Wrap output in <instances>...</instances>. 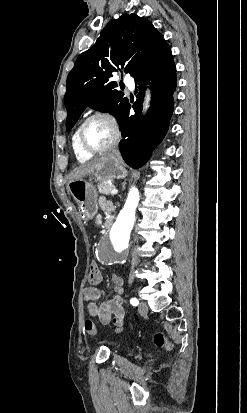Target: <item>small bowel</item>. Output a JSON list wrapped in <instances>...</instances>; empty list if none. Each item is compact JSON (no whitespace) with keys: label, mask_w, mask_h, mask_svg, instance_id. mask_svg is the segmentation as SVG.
<instances>
[{"label":"small bowel","mask_w":247,"mask_h":413,"mask_svg":"<svg viewBox=\"0 0 247 413\" xmlns=\"http://www.w3.org/2000/svg\"><path fill=\"white\" fill-rule=\"evenodd\" d=\"M99 203L106 213H110L113 210L112 204L104 198H100ZM97 222H101L100 216L97 217ZM111 285L113 289L112 299L103 302L100 306L95 303L101 296L100 289H85L84 295L85 299L90 301L87 307L89 315L98 317L103 325H108L113 322L119 330L124 325L125 317L123 301L120 298V295L123 293V278L119 273H112Z\"/></svg>","instance_id":"small-bowel-1"}]
</instances>
